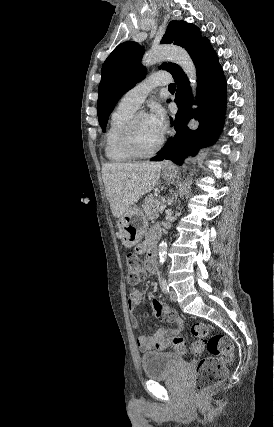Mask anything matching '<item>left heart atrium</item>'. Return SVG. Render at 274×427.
I'll use <instances>...</instances> for the list:
<instances>
[{
	"mask_svg": "<svg viewBox=\"0 0 274 427\" xmlns=\"http://www.w3.org/2000/svg\"><path fill=\"white\" fill-rule=\"evenodd\" d=\"M147 117L152 129L163 137L167 129V116L165 110L160 105H155L151 108Z\"/></svg>",
	"mask_w": 274,
	"mask_h": 427,
	"instance_id": "1",
	"label": "left heart atrium"
}]
</instances>
